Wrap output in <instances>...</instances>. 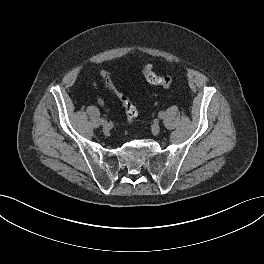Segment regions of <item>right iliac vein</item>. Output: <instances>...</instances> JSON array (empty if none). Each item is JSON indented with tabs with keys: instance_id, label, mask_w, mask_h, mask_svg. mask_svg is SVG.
<instances>
[{
	"instance_id": "1",
	"label": "right iliac vein",
	"mask_w": 264,
	"mask_h": 264,
	"mask_svg": "<svg viewBox=\"0 0 264 264\" xmlns=\"http://www.w3.org/2000/svg\"><path fill=\"white\" fill-rule=\"evenodd\" d=\"M109 129H110L109 124L108 123H104V126H103L104 132L107 133L109 131Z\"/></svg>"
}]
</instances>
